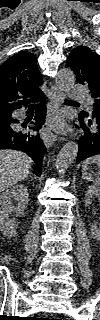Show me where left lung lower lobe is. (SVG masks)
<instances>
[{
  "label": "left lung lower lobe",
  "mask_w": 100,
  "mask_h": 320,
  "mask_svg": "<svg viewBox=\"0 0 100 320\" xmlns=\"http://www.w3.org/2000/svg\"><path fill=\"white\" fill-rule=\"evenodd\" d=\"M79 120L84 135L79 142L77 163L88 157L100 154V113L97 115L80 113Z\"/></svg>",
  "instance_id": "0a47b994"
}]
</instances>
